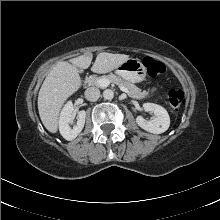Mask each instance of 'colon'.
Returning <instances> with one entry per match:
<instances>
[{"label":"colon","instance_id":"colon-1","mask_svg":"<svg viewBox=\"0 0 220 220\" xmlns=\"http://www.w3.org/2000/svg\"><path fill=\"white\" fill-rule=\"evenodd\" d=\"M143 64L147 70L148 75L151 78H155L165 71V66L160 61L152 58V57H145L143 60ZM184 98L183 91L180 89H171L168 92V103L173 110H177Z\"/></svg>","mask_w":220,"mask_h":220}]
</instances>
